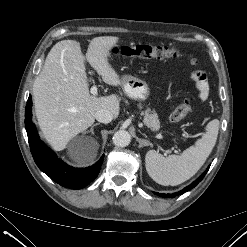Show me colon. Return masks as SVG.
<instances>
[{
  "instance_id": "colon-1",
  "label": "colon",
  "mask_w": 247,
  "mask_h": 247,
  "mask_svg": "<svg viewBox=\"0 0 247 247\" xmlns=\"http://www.w3.org/2000/svg\"><path fill=\"white\" fill-rule=\"evenodd\" d=\"M114 53L125 57H137L145 59H169L180 56V51L172 46L167 45H126L116 47ZM195 63V60L192 59ZM193 97H185L172 111L170 119L175 123L182 122L186 119L191 110Z\"/></svg>"
}]
</instances>
